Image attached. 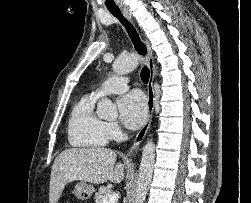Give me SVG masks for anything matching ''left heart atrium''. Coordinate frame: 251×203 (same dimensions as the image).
<instances>
[{"mask_svg":"<svg viewBox=\"0 0 251 203\" xmlns=\"http://www.w3.org/2000/svg\"><path fill=\"white\" fill-rule=\"evenodd\" d=\"M121 120L130 129L140 127L147 117V103L142 93L132 91L118 101Z\"/></svg>","mask_w":251,"mask_h":203,"instance_id":"1","label":"left heart atrium"}]
</instances>
